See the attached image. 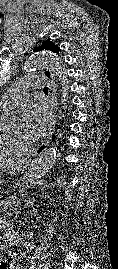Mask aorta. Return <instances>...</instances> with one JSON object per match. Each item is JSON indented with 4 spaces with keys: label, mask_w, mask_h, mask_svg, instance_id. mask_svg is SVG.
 Returning <instances> with one entry per match:
<instances>
[{
    "label": "aorta",
    "mask_w": 118,
    "mask_h": 269,
    "mask_svg": "<svg viewBox=\"0 0 118 269\" xmlns=\"http://www.w3.org/2000/svg\"><path fill=\"white\" fill-rule=\"evenodd\" d=\"M51 68L56 75L59 76L62 82V104L66 107L68 102L69 82L67 79V71L61 59L47 51L37 52L30 55L24 65L26 73H33L43 68ZM21 121V115L19 112H10L3 116L1 125L4 129L13 130L18 127ZM58 157V150L56 147H52L45 151L39 158H37L31 166L29 171V177L33 179L40 178L46 175L55 164Z\"/></svg>",
    "instance_id": "aorta-1"
}]
</instances>
